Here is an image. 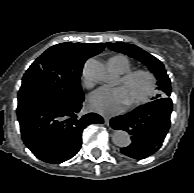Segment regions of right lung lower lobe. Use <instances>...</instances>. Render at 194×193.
I'll return each mask as SVG.
<instances>
[{
    "label": "right lung lower lobe",
    "mask_w": 194,
    "mask_h": 193,
    "mask_svg": "<svg viewBox=\"0 0 194 193\" xmlns=\"http://www.w3.org/2000/svg\"><path fill=\"white\" fill-rule=\"evenodd\" d=\"M84 97L72 102H38L17 107L22 139L39 159L62 163L81 148L82 131L89 124L103 123L100 115L81 116Z\"/></svg>",
    "instance_id": "98d812e1"
}]
</instances>
